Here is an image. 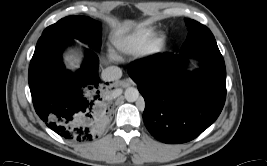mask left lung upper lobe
I'll return each mask as SVG.
<instances>
[{
  "instance_id": "left-lung-upper-lobe-1",
  "label": "left lung upper lobe",
  "mask_w": 267,
  "mask_h": 166,
  "mask_svg": "<svg viewBox=\"0 0 267 166\" xmlns=\"http://www.w3.org/2000/svg\"><path fill=\"white\" fill-rule=\"evenodd\" d=\"M186 25L188 26L189 33L181 48V50L186 49L188 46L192 45L194 42L205 37H214L212 32L204 25L192 19H185Z\"/></svg>"
}]
</instances>
